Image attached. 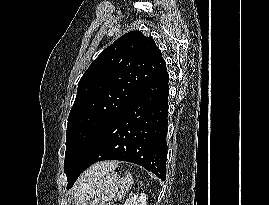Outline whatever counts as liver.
<instances>
[{
  "mask_svg": "<svg viewBox=\"0 0 269 205\" xmlns=\"http://www.w3.org/2000/svg\"><path fill=\"white\" fill-rule=\"evenodd\" d=\"M116 166V162H101L92 166L77 181L75 195L83 196L98 178L113 171Z\"/></svg>",
  "mask_w": 269,
  "mask_h": 205,
  "instance_id": "obj_1",
  "label": "liver"
}]
</instances>
